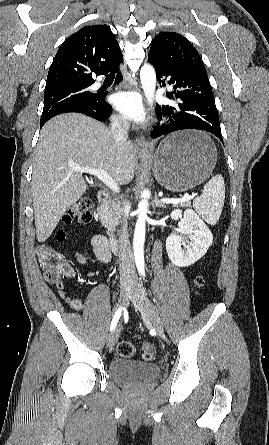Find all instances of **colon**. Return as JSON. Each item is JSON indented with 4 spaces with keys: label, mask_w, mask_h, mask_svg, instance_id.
<instances>
[{
    "label": "colon",
    "mask_w": 269,
    "mask_h": 445,
    "mask_svg": "<svg viewBox=\"0 0 269 445\" xmlns=\"http://www.w3.org/2000/svg\"><path fill=\"white\" fill-rule=\"evenodd\" d=\"M92 203L88 198H82L75 202L69 209L65 216V223L69 224L73 221L80 223H88L92 219L91 214ZM56 238L58 241H64L66 239V233L64 230L57 232ZM37 257L42 268L45 271L47 280L54 285L60 286L61 279L66 274V261L64 255L55 247L50 245H40L37 248ZM195 286L200 288L204 285V278L197 276L194 280ZM149 351L145 352L143 358L150 361L154 358V353L151 351V347L147 345ZM118 354L123 358H130L135 354V346L129 341H122L118 345Z\"/></svg>",
    "instance_id": "1"
}]
</instances>
